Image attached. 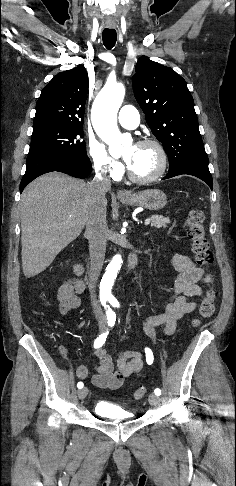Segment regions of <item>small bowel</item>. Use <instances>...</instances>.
<instances>
[{
	"mask_svg": "<svg viewBox=\"0 0 236 486\" xmlns=\"http://www.w3.org/2000/svg\"><path fill=\"white\" fill-rule=\"evenodd\" d=\"M172 265L178 272L174 281L173 293L164 305V311L149 314L143 320L145 334L155 342V328L163 325L168 335L174 333L177 322L185 315L193 312L197 304L193 297L202 294L201 284L206 281L204 271L188 256L174 255ZM83 290V283L78 279L66 280L58 290L57 300L59 313L64 316L70 310L80 306L79 294ZM98 364L94 367L96 373L92 377L95 386L103 389L117 390L123 387L128 377L138 373L144 365V356L137 351L122 352L115 362L102 348L95 351ZM80 379H86L89 374L87 366L80 365L76 369Z\"/></svg>",
	"mask_w": 236,
	"mask_h": 486,
	"instance_id": "obj_1",
	"label": "small bowel"
}]
</instances>
